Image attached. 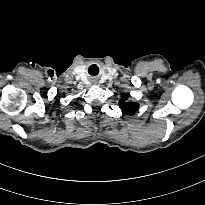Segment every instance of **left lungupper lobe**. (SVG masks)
Here are the masks:
<instances>
[{
  "mask_svg": "<svg viewBox=\"0 0 205 205\" xmlns=\"http://www.w3.org/2000/svg\"><path fill=\"white\" fill-rule=\"evenodd\" d=\"M128 97V94L122 95L119 106L126 114L131 115L138 109L139 105L135 102H128Z\"/></svg>",
  "mask_w": 205,
  "mask_h": 205,
  "instance_id": "left-lung-upper-lobe-1",
  "label": "left lung upper lobe"
}]
</instances>
